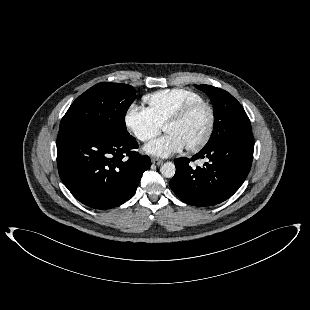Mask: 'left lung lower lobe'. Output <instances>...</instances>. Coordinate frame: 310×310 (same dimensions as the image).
<instances>
[{
  "mask_svg": "<svg viewBox=\"0 0 310 310\" xmlns=\"http://www.w3.org/2000/svg\"><path fill=\"white\" fill-rule=\"evenodd\" d=\"M252 132L237 135L208 148L191 159L175 160L176 173L170 181L173 192L185 203L210 206L230 198L246 179L253 159ZM208 158L204 167L192 168L190 161Z\"/></svg>",
  "mask_w": 310,
  "mask_h": 310,
  "instance_id": "0a47b994",
  "label": "left lung lower lobe"
}]
</instances>
